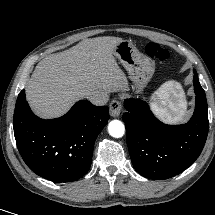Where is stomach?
I'll return each instance as SVG.
<instances>
[{
	"mask_svg": "<svg viewBox=\"0 0 215 215\" xmlns=\"http://www.w3.org/2000/svg\"><path fill=\"white\" fill-rule=\"evenodd\" d=\"M113 54L128 72L129 78L134 84L133 89L137 93L141 92L154 74V62L141 54L135 45L128 40H122L114 48ZM169 113L173 118L176 115L171 111Z\"/></svg>",
	"mask_w": 215,
	"mask_h": 215,
	"instance_id": "stomach-1",
	"label": "stomach"
}]
</instances>
